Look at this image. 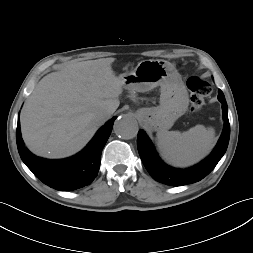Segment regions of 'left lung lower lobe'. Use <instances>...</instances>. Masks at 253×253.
I'll use <instances>...</instances> for the list:
<instances>
[{
	"label": "left lung lower lobe",
	"instance_id": "1",
	"mask_svg": "<svg viewBox=\"0 0 253 253\" xmlns=\"http://www.w3.org/2000/svg\"><path fill=\"white\" fill-rule=\"evenodd\" d=\"M218 99L222 103L224 129L213 152L199 164L188 169H176L166 165L157 155L150 139L143 130L138 132L137 148L141 160L156 181L172 186H181L200 181L207 176L222 158L229 143L230 125L227 103L224 94L218 90Z\"/></svg>",
	"mask_w": 253,
	"mask_h": 253
}]
</instances>
